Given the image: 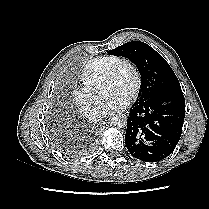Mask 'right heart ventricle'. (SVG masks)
<instances>
[{
  "instance_id": "obj_1",
  "label": "right heart ventricle",
  "mask_w": 209,
  "mask_h": 209,
  "mask_svg": "<svg viewBox=\"0 0 209 209\" xmlns=\"http://www.w3.org/2000/svg\"><path fill=\"white\" fill-rule=\"evenodd\" d=\"M119 59L120 57L107 55L90 60L79 74V79L84 87L92 91L97 90L102 85L108 69Z\"/></svg>"
}]
</instances>
